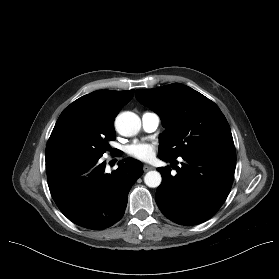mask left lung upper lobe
I'll use <instances>...</instances> for the list:
<instances>
[{
	"instance_id": "obj_1",
	"label": "left lung upper lobe",
	"mask_w": 279,
	"mask_h": 279,
	"mask_svg": "<svg viewBox=\"0 0 279 279\" xmlns=\"http://www.w3.org/2000/svg\"><path fill=\"white\" fill-rule=\"evenodd\" d=\"M139 102L156 112L166 128L160 136L159 158L176 159L201 151L235 152L229 124L218 106L179 83L139 89Z\"/></svg>"
}]
</instances>
